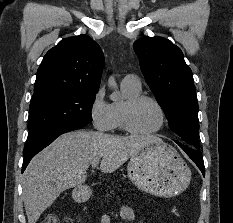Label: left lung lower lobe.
I'll use <instances>...</instances> for the list:
<instances>
[{"label":"left lung lower lobe","mask_w":233,"mask_h":223,"mask_svg":"<svg viewBox=\"0 0 233 223\" xmlns=\"http://www.w3.org/2000/svg\"><path fill=\"white\" fill-rule=\"evenodd\" d=\"M186 153L187 155L194 161V163L199 167L201 170L203 176H205V168H204V161L203 156L201 152H199V148L197 150H194L192 148H189L185 145L178 144Z\"/></svg>","instance_id":"left-lung-lower-lobe-1"}]
</instances>
